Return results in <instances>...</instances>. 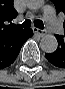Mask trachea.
<instances>
[{"instance_id": "3493384b", "label": "trachea", "mask_w": 65, "mask_h": 89, "mask_svg": "<svg viewBox=\"0 0 65 89\" xmlns=\"http://www.w3.org/2000/svg\"><path fill=\"white\" fill-rule=\"evenodd\" d=\"M34 25H35V27H37L39 29H44L43 21H41L39 19L34 21ZM30 26H31L30 20H26L22 24L16 25V27H18V28H29Z\"/></svg>"}]
</instances>
